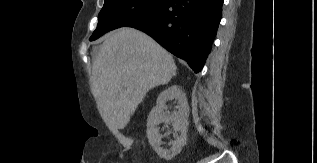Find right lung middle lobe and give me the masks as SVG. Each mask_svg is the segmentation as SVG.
<instances>
[{
	"mask_svg": "<svg viewBox=\"0 0 317 163\" xmlns=\"http://www.w3.org/2000/svg\"><path fill=\"white\" fill-rule=\"evenodd\" d=\"M168 0H105L98 15V25L90 40L108 31L127 26L162 7Z\"/></svg>",
	"mask_w": 317,
	"mask_h": 163,
	"instance_id": "right-lung-middle-lobe-1",
	"label": "right lung middle lobe"
}]
</instances>
